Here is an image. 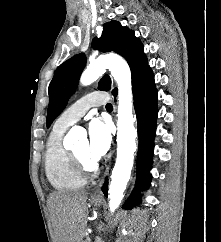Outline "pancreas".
Masks as SVG:
<instances>
[{"label": "pancreas", "mask_w": 221, "mask_h": 242, "mask_svg": "<svg viewBox=\"0 0 221 242\" xmlns=\"http://www.w3.org/2000/svg\"><path fill=\"white\" fill-rule=\"evenodd\" d=\"M84 242H89V239H86V241H84Z\"/></svg>", "instance_id": "1"}]
</instances>
